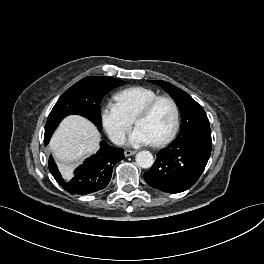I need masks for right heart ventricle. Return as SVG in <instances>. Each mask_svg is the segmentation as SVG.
<instances>
[{"instance_id": "obj_1", "label": "right heart ventricle", "mask_w": 264, "mask_h": 264, "mask_svg": "<svg viewBox=\"0 0 264 264\" xmlns=\"http://www.w3.org/2000/svg\"><path fill=\"white\" fill-rule=\"evenodd\" d=\"M157 96L159 93L151 88L134 86L117 92L114 98L125 115L133 120L136 114Z\"/></svg>"}]
</instances>
